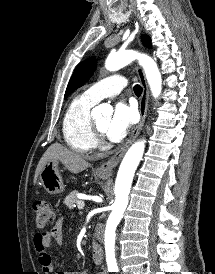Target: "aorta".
Listing matches in <instances>:
<instances>
[{
	"label": "aorta",
	"mask_w": 215,
	"mask_h": 274,
	"mask_svg": "<svg viewBox=\"0 0 215 274\" xmlns=\"http://www.w3.org/2000/svg\"><path fill=\"white\" fill-rule=\"evenodd\" d=\"M136 59L145 71L153 97L157 98L162 90V78L156 62L151 57L133 50H121L111 53L107 57L105 67L109 71H116ZM102 113H112V107L108 104H101L92 111L94 117H98ZM144 148V140L135 142L125 154L118 170L114 190L116 198L108 218L105 234L106 262L110 272L118 271L115 258V227L120 222L128 205L131 184L136 168L143 156Z\"/></svg>",
	"instance_id": "762f6f07"
}]
</instances>
